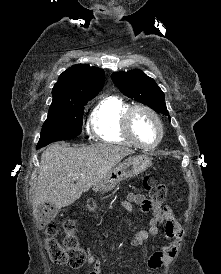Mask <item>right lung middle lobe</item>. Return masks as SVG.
Wrapping results in <instances>:
<instances>
[{"label": "right lung middle lobe", "mask_w": 221, "mask_h": 274, "mask_svg": "<svg viewBox=\"0 0 221 274\" xmlns=\"http://www.w3.org/2000/svg\"><path fill=\"white\" fill-rule=\"evenodd\" d=\"M96 95L52 102L47 120L41 130L37 149L54 141L68 140L78 136L82 131L84 106Z\"/></svg>", "instance_id": "right-lung-middle-lobe-1"}]
</instances>
